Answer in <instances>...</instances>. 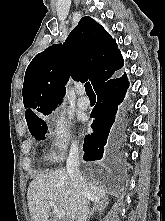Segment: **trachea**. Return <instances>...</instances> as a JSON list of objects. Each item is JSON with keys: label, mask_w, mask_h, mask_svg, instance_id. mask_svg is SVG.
<instances>
[{"label": "trachea", "mask_w": 165, "mask_h": 221, "mask_svg": "<svg viewBox=\"0 0 165 221\" xmlns=\"http://www.w3.org/2000/svg\"><path fill=\"white\" fill-rule=\"evenodd\" d=\"M85 91H86V94L88 96H94L95 95L90 82L85 83Z\"/></svg>", "instance_id": "1"}]
</instances>
